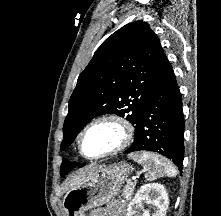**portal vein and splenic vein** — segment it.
<instances>
[{
	"instance_id": "obj_1",
	"label": "portal vein and splenic vein",
	"mask_w": 221,
	"mask_h": 216,
	"mask_svg": "<svg viewBox=\"0 0 221 216\" xmlns=\"http://www.w3.org/2000/svg\"><path fill=\"white\" fill-rule=\"evenodd\" d=\"M134 183H136V179H134Z\"/></svg>"
}]
</instances>
